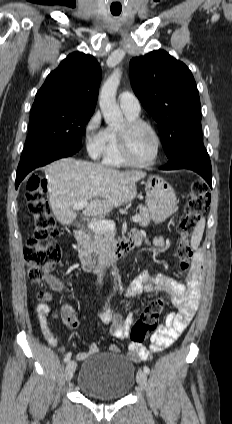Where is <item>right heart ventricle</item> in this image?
Listing matches in <instances>:
<instances>
[{"instance_id": "e07e8e85", "label": "right heart ventricle", "mask_w": 232, "mask_h": 424, "mask_svg": "<svg viewBox=\"0 0 232 424\" xmlns=\"http://www.w3.org/2000/svg\"><path fill=\"white\" fill-rule=\"evenodd\" d=\"M125 115L127 120L137 119V116H133L127 113H125ZM117 132L118 131L113 128H108L106 130L107 145L103 155V163L108 166L120 167L126 165L120 154Z\"/></svg>"}]
</instances>
